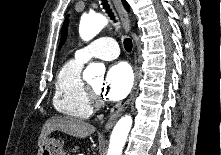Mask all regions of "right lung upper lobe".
<instances>
[{"mask_svg":"<svg viewBox=\"0 0 221 155\" xmlns=\"http://www.w3.org/2000/svg\"><path fill=\"white\" fill-rule=\"evenodd\" d=\"M122 2H123V4H124L125 8L128 10V9H129V6H128L127 2H126L125 0H122Z\"/></svg>","mask_w":221,"mask_h":155,"instance_id":"obj_1","label":"right lung upper lobe"}]
</instances>
